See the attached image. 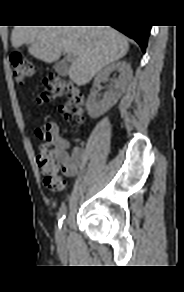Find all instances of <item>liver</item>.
I'll use <instances>...</instances> for the list:
<instances>
[{
	"label": "liver",
	"instance_id": "obj_1",
	"mask_svg": "<svg viewBox=\"0 0 184 292\" xmlns=\"http://www.w3.org/2000/svg\"><path fill=\"white\" fill-rule=\"evenodd\" d=\"M11 42L14 48L29 45L28 52L46 63L71 53L68 75L78 86L88 83L129 49L126 38L110 26H15Z\"/></svg>",
	"mask_w": 184,
	"mask_h": 292
}]
</instances>
